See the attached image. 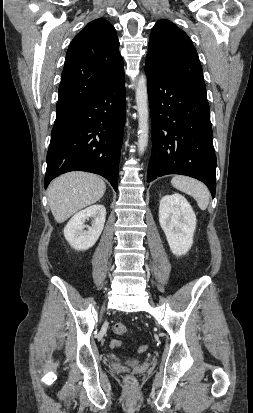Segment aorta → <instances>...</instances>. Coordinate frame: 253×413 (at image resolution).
Here are the masks:
<instances>
[{
    "instance_id": "762f6f07",
    "label": "aorta",
    "mask_w": 253,
    "mask_h": 413,
    "mask_svg": "<svg viewBox=\"0 0 253 413\" xmlns=\"http://www.w3.org/2000/svg\"><path fill=\"white\" fill-rule=\"evenodd\" d=\"M135 97L138 112V151L143 154L148 145L149 133L147 80L144 75L137 79Z\"/></svg>"
}]
</instances>
